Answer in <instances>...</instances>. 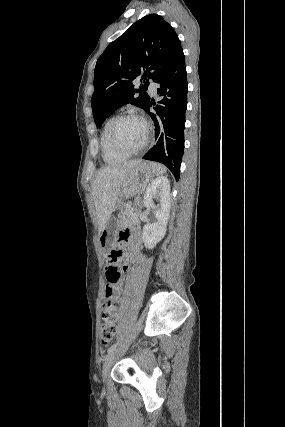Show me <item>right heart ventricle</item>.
Instances as JSON below:
<instances>
[{"instance_id": "1", "label": "right heart ventricle", "mask_w": 285, "mask_h": 427, "mask_svg": "<svg viewBox=\"0 0 285 427\" xmlns=\"http://www.w3.org/2000/svg\"><path fill=\"white\" fill-rule=\"evenodd\" d=\"M115 117H110L104 124L100 135V148L102 152L103 160L109 164L121 163L129 158L130 155H126L117 152L110 144L109 141V130Z\"/></svg>"}]
</instances>
